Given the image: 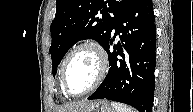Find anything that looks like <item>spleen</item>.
Wrapping results in <instances>:
<instances>
[{
  "instance_id": "3e777b00",
  "label": "spleen",
  "mask_w": 193,
  "mask_h": 112,
  "mask_svg": "<svg viewBox=\"0 0 193 112\" xmlns=\"http://www.w3.org/2000/svg\"><path fill=\"white\" fill-rule=\"evenodd\" d=\"M111 106L116 110V112H135L132 108L116 102H111Z\"/></svg>"
}]
</instances>
